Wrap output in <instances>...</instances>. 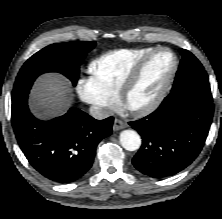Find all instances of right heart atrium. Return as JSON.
<instances>
[{
    "label": "right heart atrium",
    "instance_id": "d8ad5b80",
    "mask_svg": "<svg viewBox=\"0 0 222 219\" xmlns=\"http://www.w3.org/2000/svg\"><path fill=\"white\" fill-rule=\"evenodd\" d=\"M76 93L81 101L92 105L102 115L111 112L115 105V101L100 94L89 79L77 81Z\"/></svg>",
    "mask_w": 222,
    "mask_h": 219
}]
</instances>
